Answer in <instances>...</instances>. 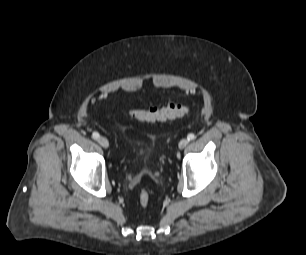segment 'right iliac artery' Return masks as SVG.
Returning a JSON list of instances; mask_svg holds the SVG:
<instances>
[{"instance_id": "right-iliac-artery-1", "label": "right iliac artery", "mask_w": 306, "mask_h": 255, "mask_svg": "<svg viewBox=\"0 0 306 255\" xmlns=\"http://www.w3.org/2000/svg\"><path fill=\"white\" fill-rule=\"evenodd\" d=\"M92 137L94 139H98L99 138V133L98 132H93Z\"/></svg>"}]
</instances>
